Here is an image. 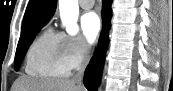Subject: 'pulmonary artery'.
<instances>
[{"mask_svg":"<svg viewBox=\"0 0 173 91\" xmlns=\"http://www.w3.org/2000/svg\"><path fill=\"white\" fill-rule=\"evenodd\" d=\"M79 4L83 9H90L94 6V0H80Z\"/></svg>","mask_w":173,"mask_h":91,"instance_id":"1","label":"pulmonary artery"}]
</instances>
